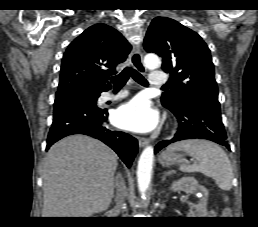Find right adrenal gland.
Returning <instances> with one entry per match:
<instances>
[{"label":"right adrenal gland","instance_id":"obj_1","mask_svg":"<svg viewBox=\"0 0 258 227\" xmlns=\"http://www.w3.org/2000/svg\"><path fill=\"white\" fill-rule=\"evenodd\" d=\"M119 178H120V179H123V178H122V175H121L120 173L117 174L116 180L119 179Z\"/></svg>","mask_w":258,"mask_h":227}]
</instances>
